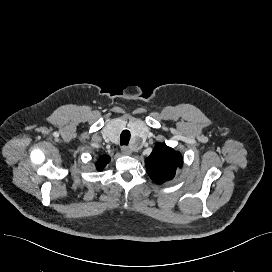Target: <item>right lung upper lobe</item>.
Masks as SVG:
<instances>
[{
    "instance_id": "cb5924a9",
    "label": "right lung upper lobe",
    "mask_w": 272,
    "mask_h": 272,
    "mask_svg": "<svg viewBox=\"0 0 272 272\" xmlns=\"http://www.w3.org/2000/svg\"><path fill=\"white\" fill-rule=\"evenodd\" d=\"M110 161V157L109 156H102L99 158V160L96 163V168L97 170H102L106 164Z\"/></svg>"
}]
</instances>
